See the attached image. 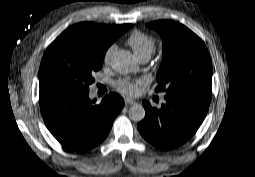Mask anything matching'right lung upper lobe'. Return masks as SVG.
Wrapping results in <instances>:
<instances>
[{
    "label": "right lung upper lobe",
    "mask_w": 255,
    "mask_h": 177,
    "mask_svg": "<svg viewBox=\"0 0 255 177\" xmlns=\"http://www.w3.org/2000/svg\"><path fill=\"white\" fill-rule=\"evenodd\" d=\"M122 25H104L91 22H82L71 26L66 31L76 32L89 37L115 41L119 37Z\"/></svg>",
    "instance_id": "obj_1"
}]
</instances>
